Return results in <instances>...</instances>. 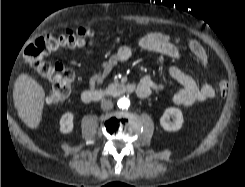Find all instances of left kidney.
Instances as JSON below:
<instances>
[{
	"instance_id": "5707ae66",
	"label": "left kidney",
	"mask_w": 245,
	"mask_h": 187,
	"mask_svg": "<svg viewBox=\"0 0 245 187\" xmlns=\"http://www.w3.org/2000/svg\"><path fill=\"white\" fill-rule=\"evenodd\" d=\"M170 118L173 120L171 121ZM184 119L180 109L175 107L166 108L160 118V125L165 131H178L183 125Z\"/></svg>"
}]
</instances>
